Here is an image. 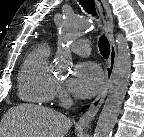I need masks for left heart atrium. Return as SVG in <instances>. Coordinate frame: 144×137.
I'll return each instance as SVG.
<instances>
[{"instance_id": "1", "label": "left heart atrium", "mask_w": 144, "mask_h": 137, "mask_svg": "<svg viewBox=\"0 0 144 137\" xmlns=\"http://www.w3.org/2000/svg\"><path fill=\"white\" fill-rule=\"evenodd\" d=\"M68 84L77 97L90 98L100 90L103 74L96 63L83 62L76 66Z\"/></svg>"}]
</instances>
